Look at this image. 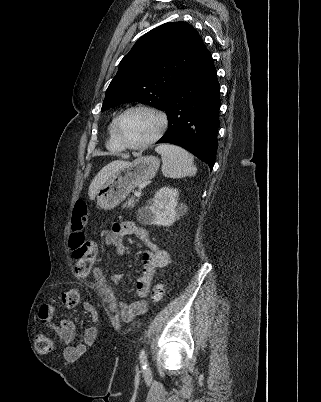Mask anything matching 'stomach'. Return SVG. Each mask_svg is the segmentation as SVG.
<instances>
[{"label":"stomach","mask_w":321,"mask_h":402,"mask_svg":"<svg viewBox=\"0 0 321 402\" xmlns=\"http://www.w3.org/2000/svg\"><path fill=\"white\" fill-rule=\"evenodd\" d=\"M160 166L158 157H138L127 166L112 174L97 190V206L110 210L123 202L129 193L142 182L152 179Z\"/></svg>","instance_id":"0dacf381"}]
</instances>
